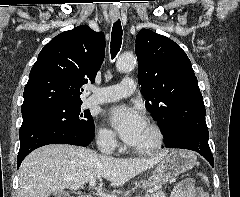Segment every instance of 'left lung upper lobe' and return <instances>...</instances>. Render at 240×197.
<instances>
[{
    "label": "left lung upper lobe",
    "instance_id": "1",
    "mask_svg": "<svg viewBox=\"0 0 240 197\" xmlns=\"http://www.w3.org/2000/svg\"><path fill=\"white\" fill-rule=\"evenodd\" d=\"M135 52L145 105L159 127L163 118L183 112L193 99L203 100L191 62L177 43L143 29Z\"/></svg>",
    "mask_w": 240,
    "mask_h": 197
}]
</instances>
